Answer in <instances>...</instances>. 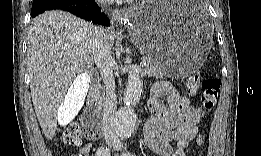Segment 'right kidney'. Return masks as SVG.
Masks as SVG:
<instances>
[{"instance_id":"obj_1","label":"right kidney","mask_w":261,"mask_h":156,"mask_svg":"<svg viewBox=\"0 0 261 156\" xmlns=\"http://www.w3.org/2000/svg\"><path fill=\"white\" fill-rule=\"evenodd\" d=\"M84 95H85L84 93L81 94V96H80V100H81V101H83V99H84Z\"/></svg>"}]
</instances>
